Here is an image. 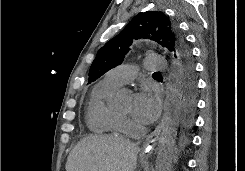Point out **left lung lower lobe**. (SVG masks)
<instances>
[{"label":"left lung lower lobe","instance_id":"1","mask_svg":"<svg viewBox=\"0 0 245 171\" xmlns=\"http://www.w3.org/2000/svg\"><path fill=\"white\" fill-rule=\"evenodd\" d=\"M175 73L178 78L180 88L183 92V121L189 125L192 120V113L195 107L196 81L194 74V61H175ZM188 143V138H181V145L184 147Z\"/></svg>","mask_w":245,"mask_h":171}]
</instances>
